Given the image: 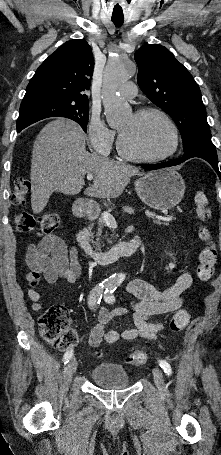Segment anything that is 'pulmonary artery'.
Segmentation results:
<instances>
[{"label":"pulmonary artery","instance_id":"e3ab8cb5","mask_svg":"<svg viewBox=\"0 0 221 455\" xmlns=\"http://www.w3.org/2000/svg\"><path fill=\"white\" fill-rule=\"evenodd\" d=\"M137 86L135 83L128 81L123 83L119 88V93L124 98H133L137 95Z\"/></svg>","mask_w":221,"mask_h":455}]
</instances>
